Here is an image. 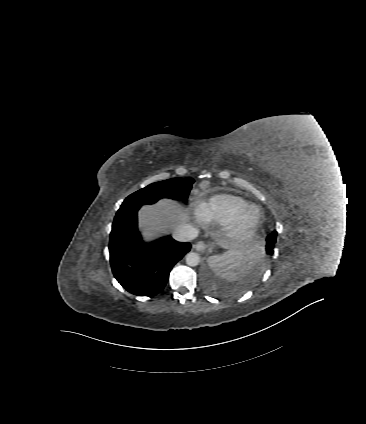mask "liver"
<instances>
[{"label": "liver", "instance_id": "6515ba94", "mask_svg": "<svg viewBox=\"0 0 366 424\" xmlns=\"http://www.w3.org/2000/svg\"><path fill=\"white\" fill-rule=\"evenodd\" d=\"M189 219L188 212L169 199H163L153 206H145L139 213V221L144 230V238L149 241L166 231L174 232L175 229L186 224ZM241 240L244 242H235L231 247H243L244 244L247 246L251 242L248 237Z\"/></svg>", "mask_w": 366, "mask_h": 424}]
</instances>
